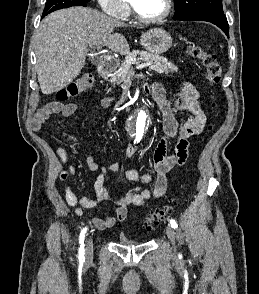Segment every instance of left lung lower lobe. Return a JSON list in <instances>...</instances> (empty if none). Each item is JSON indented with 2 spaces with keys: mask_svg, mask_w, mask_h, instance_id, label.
Masks as SVG:
<instances>
[{
  "mask_svg": "<svg viewBox=\"0 0 259 294\" xmlns=\"http://www.w3.org/2000/svg\"><path fill=\"white\" fill-rule=\"evenodd\" d=\"M174 20H200L207 21L218 26L229 38V25L224 13H210V12H200L196 14H191L185 17L174 18Z\"/></svg>",
  "mask_w": 259,
  "mask_h": 294,
  "instance_id": "obj_1",
  "label": "left lung lower lobe"
}]
</instances>
